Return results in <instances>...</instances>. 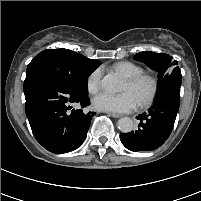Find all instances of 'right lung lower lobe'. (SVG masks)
<instances>
[{
	"label": "right lung lower lobe",
	"instance_id": "1",
	"mask_svg": "<svg viewBox=\"0 0 201 201\" xmlns=\"http://www.w3.org/2000/svg\"><path fill=\"white\" fill-rule=\"evenodd\" d=\"M25 111L37 141L48 151L66 153L78 148L87 136L94 112L69 111L71 104L88 106L87 97L76 95L57 78L44 72L26 75Z\"/></svg>",
	"mask_w": 201,
	"mask_h": 201
}]
</instances>
